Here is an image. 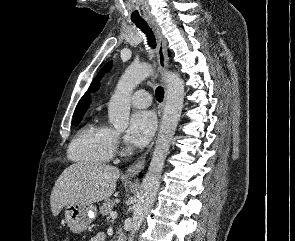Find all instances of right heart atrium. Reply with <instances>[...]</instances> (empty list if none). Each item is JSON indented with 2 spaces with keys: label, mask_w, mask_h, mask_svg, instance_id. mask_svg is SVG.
I'll return each mask as SVG.
<instances>
[{
  "label": "right heart atrium",
  "mask_w": 295,
  "mask_h": 241,
  "mask_svg": "<svg viewBox=\"0 0 295 241\" xmlns=\"http://www.w3.org/2000/svg\"><path fill=\"white\" fill-rule=\"evenodd\" d=\"M115 143L119 141V135L115 132L114 135Z\"/></svg>",
  "instance_id": "d8ad5b80"
}]
</instances>
